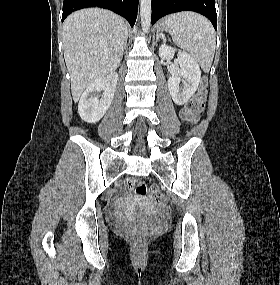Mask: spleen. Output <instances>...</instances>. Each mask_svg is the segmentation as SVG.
Returning <instances> with one entry per match:
<instances>
[{"instance_id": "1", "label": "spleen", "mask_w": 280, "mask_h": 285, "mask_svg": "<svg viewBox=\"0 0 280 285\" xmlns=\"http://www.w3.org/2000/svg\"><path fill=\"white\" fill-rule=\"evenodd\" d=\"M165 25L172 39L188 51L205 72H209L215 53V31L203 16L181 12L166 17Z\"/></svg>"}]
</instances>
